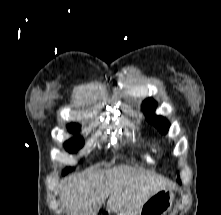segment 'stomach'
<instances>
[{"instance_id": "stomach-1", "label": "stomach", "mask_w": 221, "mask_h": 215, "mask_svg": "<svg viewBox=\"0 0 221 215\" xmlns=\"http://www.w3.org/2000/svg\"><path fill=\"white\" fill-rule=\"evenodd\" d=\"M174 194L171 189L160 190L153 194L138 210L117 212L116 215H166L171 209Z\"/></svg>"}]
</instances>
